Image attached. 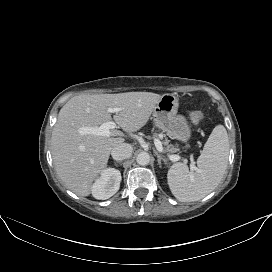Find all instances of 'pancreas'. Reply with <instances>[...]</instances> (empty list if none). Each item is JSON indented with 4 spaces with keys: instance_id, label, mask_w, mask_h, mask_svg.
<instances>
[{
    "instance_id": "pancreas-1",
    "label": "pancreas",
    "mask_w": 272,
    "mask_h": 272,
    "mask_svg": "<svg viewBox=\"0 0 272 272\" xmlns=\"http://www.w3.org/2000/svg\"><path fill=\"white\" fill-rule=\"evenodd\" d=\"M159 138H163L164 137V141H163V144L166 146V151L169 152V153H176L179 151L178 148L174 147L172 144H169V140L167 137H165L164 134H159L158 135Z\"/></svg>"
}]
</instances>
